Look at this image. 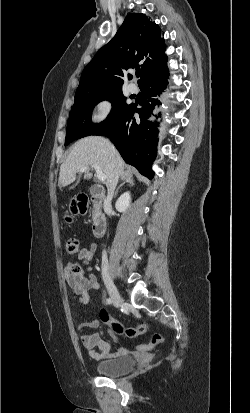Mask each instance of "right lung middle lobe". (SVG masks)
Listing matches in <instances>:
<instances>
[{
    "mask_svg": "<svg viewBox=\"0 0 250 413\" xmlns=\"http://www.w3.org/2000/svg\"><path fill=\"white\" fill-rule=\"evenodd\" d=\"M102 100H109L112 103V110L104 122L94 124L91 122V113L94 106ZM127 106L121 88L75 95V102L67 123L65 146L76 139L92 135Z\"/></svg>",
    "mask_w": 250,
    "mask_h": 413,
    "instance_id": "dd1d6c3e",
    "label": "right lung middle lobe"
}]
</instances>
